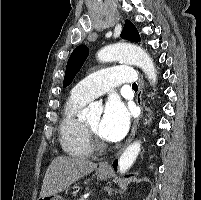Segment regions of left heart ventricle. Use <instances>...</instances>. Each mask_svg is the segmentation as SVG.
<instances>
[{
    "label": "left heart ventricle",
    "mask_w": 201,
    "mask_h": 200,
    "mask_svg": "<svg viewBox=\"0 0 201 200\" xmlns=\"http://www.w3.org/2000/svg\"><path fill=\"white\" fill-rule=\"evenodd\" d=\"M101 120H102L101 116H97L86 121V124L99 136H100L99 128L101 125Z\"/></svg>",
    "instance_id": "1"
}]
</instances>
